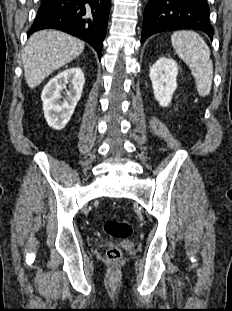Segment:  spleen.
Returning a JSON list of instances; mask_svg holds the SVG:
<instances>
[{
  "label": "spleen",
  "mask_w": 232,
  "mask_h": 311,
  "mask_svg": "<svg viewBox=\"0 0 232 311\" xmlns=\"http://www.w3.org/2000/svg\"><path fill=\"white\" fill-rule=\"evenodd\" d=\"M171 41L179 57L190 67L199 95L205 97L211 91L213 80V63L208 45L193 31L174 32Z\"/></svg>",
  "instance_id": "3e777b00"
}]
</instances>
